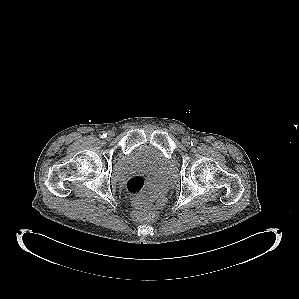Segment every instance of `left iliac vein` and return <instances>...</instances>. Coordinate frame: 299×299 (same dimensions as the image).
Wrapping results in <instances>:
<instances>
[{
  "label": "left iliac vein",
  "instance_id": "4c4485c4",
  "mask_svg": "<svg viewBox=\"0 0 299 299\" xmlns=\"http://www.w3.org/2000/svg\"><path fill=\"white\" fill-rule=\"evenodd\" d=\"M182 143H183L184 145H186V146H189L190 143H191V139H190L188 136H184V137L182 138Z\"/></svg>",
  "mask_w": 299,
  "mask_h": 299
}]
</instances>
